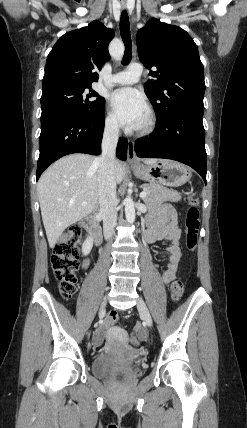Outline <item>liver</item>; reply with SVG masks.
<instances>
[{"label": "liver", "instance_id": "obj_1", "mask_svg": "<svg viewBox=\"0 0 247 428\" xmlns=\"http://www.w3.org/2000/svg\"><path fill=\"white\" fill-rule=\"evenodd\" d=\"M96 157L72 154L52 164L40 177L37 189L41 215L50 248L70 225L88 216L96 208L99 198ZM151 165L159 160L146 158ZM116 183L120 184L126 173L123 162L115 159ZM82 202H86L82 206Z\"/></svg>", "mask_w": 247, "mask_h": 428}]
</instances>
